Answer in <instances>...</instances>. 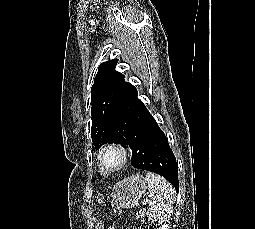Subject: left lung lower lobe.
I'll use <instances>...</instances> for the list:
<instances>
[{"label":"left lung lower lobe","mask_w":255,"mask_h":229,"mask_svg":"<svg viewBox=\"0 0 255 229\" xmlns=\"http://www.w3.org/2000/svg\"><path fill=\"white\" fill-rule=\"evenodd\" d=\"M120 130L128 136L132 149L134 168L152 171L165 177L178 191V167L164 132L149 113L137 90L131 87L129 93L116 110Z\"/></svg>","instance_id":"obj_1"}]
</instances>
